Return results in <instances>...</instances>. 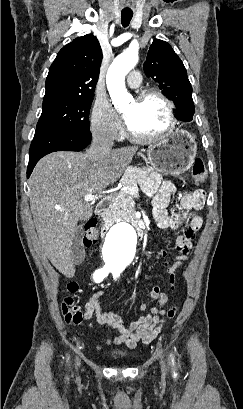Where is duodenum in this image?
Segmentation results:
<instances>
[{"label":"duodenum","instance_id":"410a0bca","mask_svg":"<svg viewBox=\"0 0 243 409\" xmlns=\"http://www.w3.org/2000/svg\"><path fill=\"white\" fill-rule=\"evenodd\" d=\"M113 202H114L113 197H109V198L99 202L97 204V206H96V210H95L96 214L99 215V216H102L103 214H105V212L112 206ZM113 222L114 221L112 219H108V218L105 219V221H104V223L102 225V229H101L102 234H105L109 230V228L112 226ZM132 225L136 229L138 237L140 239H142L143 235H144L143 226L137 220H133Z\"/></svg>","mask_w":243,"mask_h":409}]
</instances>
